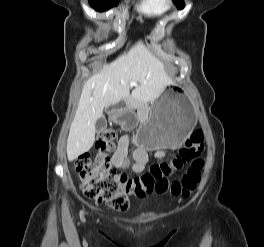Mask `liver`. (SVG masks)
Returning a JSON list of instances; mask_svg holds the SVG:
<instances>
[{
	"instance_id": "6515ba94",
	"label": "liver",
	"mask_w": 264,
	"mask_h": 247,
	"mask_svg": "<svg viewBox=\"0 0 264 247\" xmlns=\"http://www.w3.org/2000/svg\"><path fill=\"white\" fill-rule=\"evenodd\" d=\"M147 103L159 97L164 88L172 84L163 63L157 59L142 41L120 55L92 76L84 85L75 118L67 139V157L73 161L90 150L95 140V124L102 117L103 109L130 99Z\"/></svg>"
}]
</instances>
